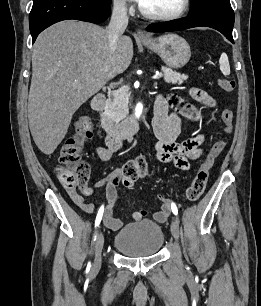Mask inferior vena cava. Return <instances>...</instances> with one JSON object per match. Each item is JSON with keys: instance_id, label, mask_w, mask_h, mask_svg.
Returning <instances> with one entry per match:
<instances>
[{"instance_id": "1", "label": "inferior vena cava", "mask_w": 261, "mask_h": 306, "mask_svg": "<svg viewBox=\"0 0 261 306\" xmlns=\"http://www.w3.org/2000/svg\"><path fill=\"white\" fill-rule=\"evenodd\" d=\"M128 25L126 5L122 1H115L110 23L106 28L110 51L117 48L119 37L124 33Z\"/></svg>"}]
</instances>
